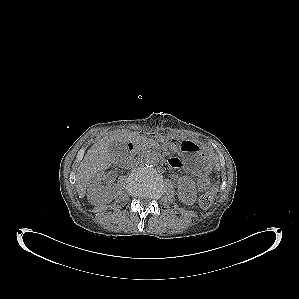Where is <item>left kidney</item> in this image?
Returning a JSON list of instances; mask_svg holds the SVG:
<instances>
[{
	"label": "left kidney",
	"instance_id": "1",
	"mask_svg": "<svg viewBox=\"0 0 299 299\" xmlns=\"http://www.w3.org/2000/svg\"><path fill=\"white\" fill-rule=\"evenodd\" d=\"M178 198L186 205H192L197 199L195 182L189 177H181L178 182Z\"/></svg>",
	"mask_w": 299,
	"mask_h": 299
}]
</instances>
